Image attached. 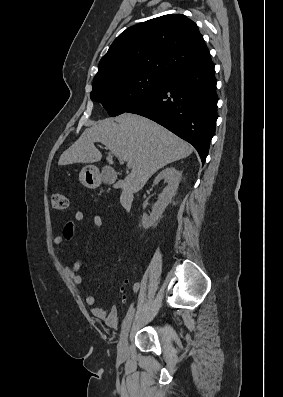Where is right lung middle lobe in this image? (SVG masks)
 Here are the masks:
<instances>
[{
    "instance_id": "obj_1",
    "label": "right lung middle lobe",
    "mask_w": 283,
    "mask_h": 397,
    "mask_svg": "<svg viewBox=\"0 0 283 397\" xmlns=\"http://www.w3.org/2000/svg\"><path fill=\"white\" fill-rule=\"evenodd\" d=\"M163 82L146 75L97 81L90 98L101 103L110 116H117L153 95Z\"/></svg>"
}]
</instances>
